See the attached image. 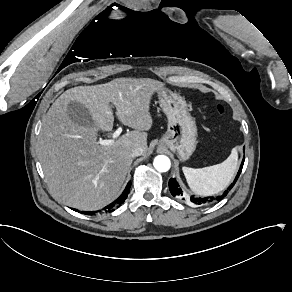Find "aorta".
Wrapping results in <instances>:
<instances>
[{"instance_id":"obj_1","label":"aorta","mask_w":292,"mask_h":292,"mask_svg":"<svg viewBox=\"0 0 292 292\" xmlns=\"http://www.w3.org/2000/svg\"><path fill=\"white\" fill-rule=\"evenodd\" d=\"M154 167L158 172H167L171 167L170 159L167 156H157L154 160Z\"/></svg>"}]
</instances>
